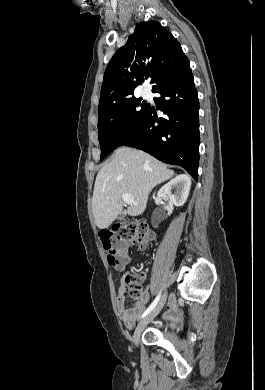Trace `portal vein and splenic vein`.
Here are the masks:
<instances>
[{
    "instance_id": "portal-vein-and-splenic-vein-1",
    "label": "portal vein and splenic vein",
    "mask_w": 265,
    "mask_h": 390,
    "mask_svg": "<svg viewBox=\"0 0 265 390\" xmlns=\"http://www.w3.org/2000/svg\"><path fill=\"white\" fill-rule=\"evenodd\" d=\"M122 199L128 205H137V202L134 200L133 196L129 194H123Z\"/></svg>"
}]
</instances>
